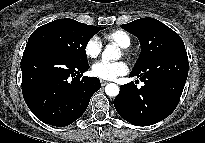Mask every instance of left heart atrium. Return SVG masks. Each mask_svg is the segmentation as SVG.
<instances>
[{
  "label": "left heart atrium",
  "instance_id": "left-heart-atrium-1",
  "mask_svg": "<svg viewBox=\"0 0 205 143\" xmlns=\"http://www.w3.org/2000/svg\"><path fill=\"white\" fill-rule=\"evenodd\" d=\"M127 71L128 66L123 61H98L91 68L92 75L103 80H114L118 76L126 74Z\"/></svg>",
  "mask_w": 205,
  "mask_h": 143
}]
</instances>
